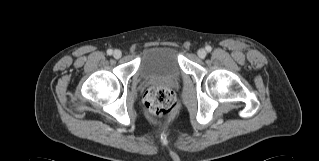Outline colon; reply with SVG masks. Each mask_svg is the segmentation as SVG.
<instances>
[{"label":"colon","mask_w":319,"mask_h":161,"mask_svg":"<svg viewBox=\"0 0 319 161\" xmlns=\"http://www.w3.org/2000/svg\"><path fill=\"white\" fill-rule=\"evenodd\" d=\"M147 112L155 118H166L175 114L177 100L173 91L165 86L149 88L143 97Z\"/></svg>","instance_id":"colon-1"}]
</instances>
